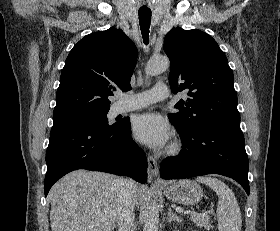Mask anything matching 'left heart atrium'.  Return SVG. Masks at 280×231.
I'll return each instance as SVG.
<instances>
[{
  "mask_svg": "<svg viewBox=\"0 0 280 231\" xmlns=\"http://www.w3.org/2000/svg\"><path fill=\"white\" fill-rule=\"evenodd\" d=\"M132 134L136 140L156 149L168 146L172 136L169 125L152 113L141 114L134 119Z\"/></svg>",
  "mask_w": 280,
  "mask_h": 231,
  "instance_id": "1",
  "label": "left heart atrium"
}]
</instances>
